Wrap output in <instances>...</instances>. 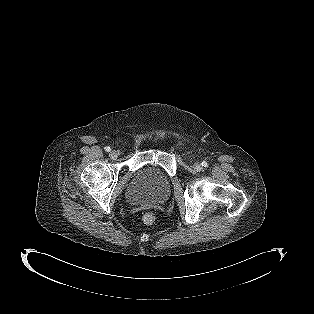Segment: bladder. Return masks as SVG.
Returning <instances> with one entry per match:
<instances>
[{"label": "bladder", "mask_w": 314, "mask_h": 314, "mask_svg": "<svg viewBox=\"0 0 314 314\" xmlns=\"http://www.w3.org/2000/svg\"><path fill=\"white\" fill-rule=\"evenodd\" d=\"M171 184L168 176L155 166L141 169L126 188V198L130 203H163L170 195Z\"/></svg>", "instance_id": "1"}]
</instances>
